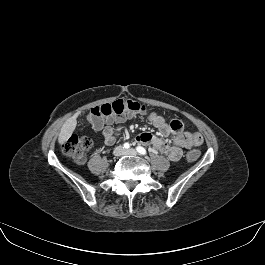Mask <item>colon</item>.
<instances>
[{
  "instance_id": "5ec220e1",
  "label": "colon",
  "mask_w": 265,
  "mask_h": 265,
  "mask_svg": "<svg viewBox=\"0 0 265 265\" xmlns=\"http://www.w3.org/2000/svg\"><path fill=\"white\" fill-rule=\"evenodd\" d=\"M147 107L137 101L131 99H118L111 103H106L101 106L92 108L87 120L93 126L97 127L104 123L105 119L116 116H125L131 114H146ZM92 141L87 136L72 135L62 146L64 154L77 163H83L91 149ZM200 156L197 149H192L187 152L186 158L193 162Z\"/></svg>"
}]
</instances>
